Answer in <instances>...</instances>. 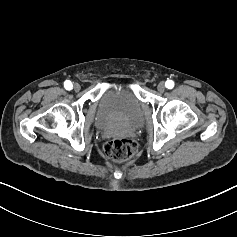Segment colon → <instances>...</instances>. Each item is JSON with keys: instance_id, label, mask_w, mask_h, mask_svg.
Returning a JSON list of instances; mask_svg holds the SVG:
<instances>
[{"instance_id": "5ec220e1", "label": "colon", "mask_w": 237, "mask_h": 237, "mask_svg": "<svg viewBox=\"0 0 237 237\" xmlns=\"http://www.w3.org/2000/svg\"><path fill=\"white\" fill-rule=\"evenodd\" d=\"M106 155L114 162L121 163L132 159L137 151L134 140L127 137H117L104 145Z\"/></svg>"}]
</instances>
